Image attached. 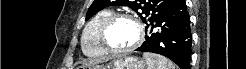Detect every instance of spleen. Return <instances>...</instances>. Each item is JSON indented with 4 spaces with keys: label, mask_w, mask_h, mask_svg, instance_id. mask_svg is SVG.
<instances>
[{
    "label": "spleen",
    "mask_w": 246,
    "mask_h": 69,
    "mask_svg": "<svg viewBox=\"0 0 246 69\" xmlns=\"http://www.w3.org/2000/svg\"><path fill=\"white\" fill-rule=\"evenodd\" d=\"M143 57L146 59L148 69H176L172 61L161 55L144 53Z\"/></svg>",
    "instance_id": "3e777b00"
}]
</instances>
